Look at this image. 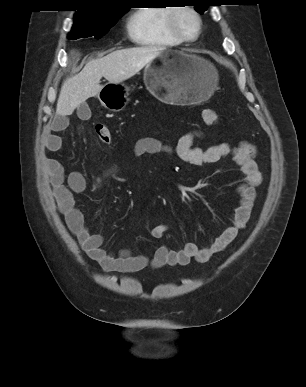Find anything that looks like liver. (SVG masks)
<instances>
[{
	"instance_id": "liver-1",
	"label": "liver",
	"mask_w": 306,
	"mask_h": 387,
	"mask_svg": "<svg viewBox=\"0 0 306 387\" xmlns=\"http://www.w3.org/2000/svg\"><path fill=\"white\" fill-rule=\"evenodd\" d=\"M162 51L160 47H135L114 51L100 59L90 60L80 73L66 79L61 87L56 113L71 115L85 101L99 94L104 77L109 83L119 84L137 74Z\"/></svg>"
}]
</instances>
